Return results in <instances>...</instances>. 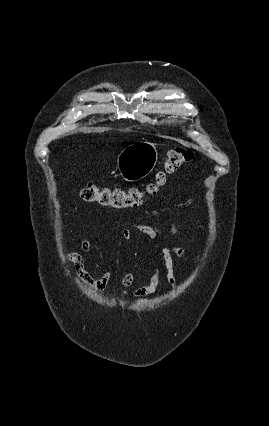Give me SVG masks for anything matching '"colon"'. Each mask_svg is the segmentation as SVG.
Instances as JSON below:
<instances>
[{"mask_svg": "<svg viewBox=\"0 0 269 426\" xmlns=\"http://www.w3.org/2000/svg\"><path fill=\"white\" fill-rule=\"evenodd\" d=\"M193 159L194 153L191 150L175 148L165 155L161 169L156 172L154 179L144 187H132L125 190L121 188L98 187L94 184H89L82 189L81 197L87 202L103 207L114 209L136 207L146 197L154 195L165 184L168 175L173 174Z\"/></svg>", "mask_w": 269, "mask_h": 426, "instance_id": "1", "label": "colon"}]
</instances>
